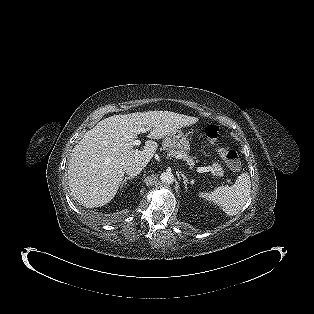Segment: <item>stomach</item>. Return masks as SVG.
<instances>
[{
	"mask_svg": "<svg viewBox=\"0 0 314 314\" xmlns=\"http://www.w3.org/2000/svg\"><path fill=\"white\" fill-rule=\"evenodd\" d=\"M164 141L168 142L169 148H174L177 151H180L184 155L188 156L190 152L189 140L187 139V137L184 135V133L181 130L178 129L175 132L167 135L164 138Z\"/></svg>",
	"mask_w": 314,
	"mask_h": 314,
	"instance_id": "1",
	"label": "stomach"
}]
</instances>
